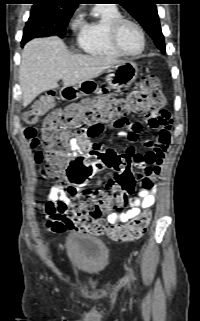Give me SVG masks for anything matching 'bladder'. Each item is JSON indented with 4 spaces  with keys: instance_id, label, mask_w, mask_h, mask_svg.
I'll list each match as a JSON object with an SVG mask.
<instances>
[{
    "instance_id": "31cf9c89",
    "label": "bladder",
    "mask_w": 200,
    "mask_h": 321,
    "mask_svg": "<svg viewBox=\"0 0 200 321\" xmlns=\"http://www.w3.org/2000/svg\"><path fill=\"white\" fill-rule=\"evenodd\" d=\"M67 254L76 268L98 274L110 261V248L99 238L82 232H72L65 240Z\"/></svg>"
}]
</instances>
